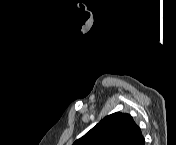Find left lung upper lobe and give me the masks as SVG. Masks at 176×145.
Segmentation results:
<instances>
[{"label":"left lung upper lobe","mask_w":176,"mask_h":145,"mask_svg":"<svg viewBox=\"0 0 176 145\" xmlns=\"http://www.w3.org/2000/svg\"><path fill=\"white\" fill-rule=\"evenodd\" d=\"M139 126L129 114L113 113L96 124L73 145H144Z\"/></svg>","instance_id":"1"}]
</instances>
